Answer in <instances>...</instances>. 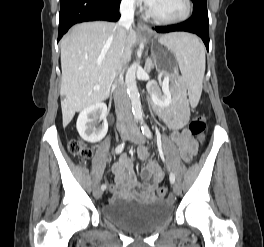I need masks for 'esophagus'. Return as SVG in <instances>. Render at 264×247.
Wrapping results in <instances>:
<instances>
[{
    "label": "esophagus",
    "instance_id": "34e87169",
    "mask_svg": "<svg viewBox=\"0 0 264 247\" xmlns=\"http://www.w3.org/2000/svg\"><path fill=\"white\" fill-rule=\"evenodd\" d=\"M138 27H139V29H140L142 32H144V33H148V32H149V29H148L147 25H145V24L142 23V22H139V23H138Z\"/></svg>",
    "mask_w": 264,
    "mask_h": 247
}]
</instances>
